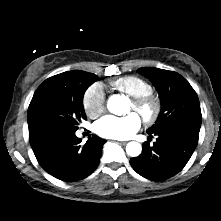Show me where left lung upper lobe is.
<instances>
[{"mask_svg":"<svg viewBox=\"0 0 221 221\" xmlns=\"http://www.w3.org/2000/svg\"><path fill=\"white\" fill-rule=\"evenodd\" d=\"M137 72L152 81L161 99L159 117L148 131H158L176 122L201 127L202 115L198 96L186 79L176 72L155 67L139 68Z\"/></svg>","mask_w":221,"mask_h":221,"instance_id":"obj_1","label":"left lung upper lobe"}]
</instances>
